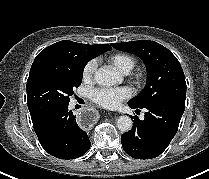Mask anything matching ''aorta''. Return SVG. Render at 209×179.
I'll return each instance as SVG.
<instances>
[{
    "instance_id": "762f6f07",
    "label": "aorta",
    "mask_w": 209,
    "mask_h": 179,
    "mask_svg": "<svg viewBox=\"0 0 209 179\" xmlns=\"http://www.w3.org/2000/svg\"><path fill=\"white\" fill-rule=\"evenodd\" d=\"M95 81L102 86H112L120 81V77L117 75L116 72L109 68H99L94 73ZM117 128L123 132H127L131 130L133 126V122L129 116H120L117 119Z\"/></svg>"
}]
</instances>
